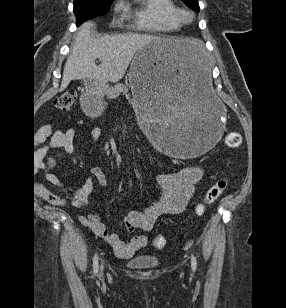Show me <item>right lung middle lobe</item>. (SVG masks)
Listing matches in <instances>:
<instances>
[{"label": "right lung middle lobe", "mask_w": 286, "mask_h": 308, "mask_svg": "<svg viewBox=\"0 0 286 308\" xmlns=\"http://www.w3.org/2000/svg\"><path fill=\"white\" fill-rule=\"evenodd\" d=\"M112 2L113 0H74L73 11L77 25L87 19L106 14Z\"/></svg>", "instance_id": "right-lung-middle-lobe-1"}]
</instances>
